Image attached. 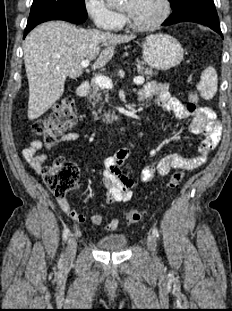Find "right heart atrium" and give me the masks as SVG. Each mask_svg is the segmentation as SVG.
Returning a JSON list of instances; mask_svg holds the SVG:
<instances>
[{"label": "right heart atrium", "mask_w": 232, "mask_h": 311, "mask_svg": "<svg viewBox=\"0 0 232 311\" xmlns=\"http://www.w3.org/2000/svg\"><path fill=\"white\" fill-rule=\"evenodd\" d=\"M84 7L93 23L102 30H117L123 22V15L113 10L106 0H84Z\"/></svg>", "instance_id": "1"}]
</instances>
